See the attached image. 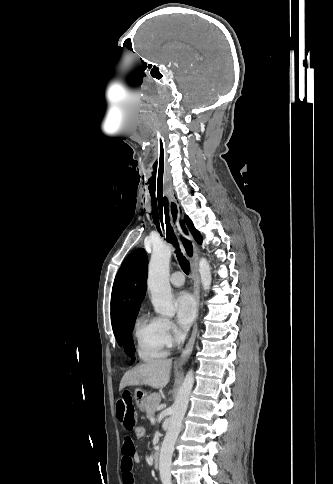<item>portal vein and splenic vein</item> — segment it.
I'll return each mask as SVG.
<instances>
[{
  "mask_svg": "<svg viewBox=\"0 0 333 484\" xmlns=\"http://www.w3.org/2000/svg\"><path fill=\"white\" fill-rule=\"evenodd\" d=\"M150 422L151 423H154L155 422V418L154 417L150 418Z\"/></svg>",
  "mask_w": 333,
  "mask_h": 484,
  "instance_id": "obj_1",
  "label": "portal vein and splenic vein"
}]
</instances>
